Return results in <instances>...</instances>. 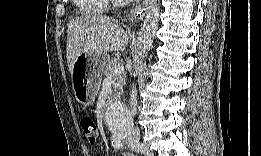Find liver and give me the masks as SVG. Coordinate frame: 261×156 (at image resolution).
<instances>
[{
    "label": "liver",
    "mask_w": 261,
    "mask_h": 156,
    "mask_svg": "<svg viewBox=\"0 0 261 156\" xmlns=\"http://www.w3.org/2000/svg\"><path fill=\"white\" fill-rule=\"evenodd\" d=\"M129 34L118 26L117 21L103 15H86L70 20L66 46L70 73H73L75 62L83 53L107 55L113 50L124 51Z\"/></svg>",
    "instance_id": "obj_1"
}]
</instances>
